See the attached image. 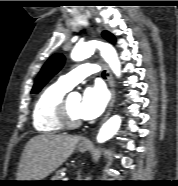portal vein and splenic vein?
Here are the masks:
<instances>
[{"label": "portal vein and splenic vein", "instance_id": "18ae733b", "mask_svg": "<svg viewBox=\"0 0 178 186\" xmlns=\"http://www.w3.org/2000/svg\"><path fill=\"white\" fill-rule=\"evenodd\" d=\"M63 180H64V181H68V178H67V177H65Z\"/></svg>", "mask_w": 178, "mask_h": 186}]
</instances>
